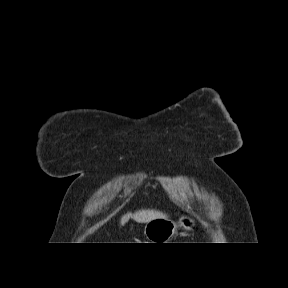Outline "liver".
Here are the masks:
<instances>
[{
  "instance_id": "6515ba94",
  "label": "liver",
  "mask_w": 288,
  "mask_h": 288,
  "mask_svg": "<svg viewBox=\"0 0 288 288\" xmlns=\"http://www.w3.org/2000/svg\"><path fill=\"white\" fill-rule=\"evenodd\" d=\"M130 217H132L138 223H147L153 219L163 218L166 216L160 211L140 210V211L135 212L134 214L129 213V214L122 216L120 220V224L121 225L126 224L129 221Z\"/></svg>"
}]
</instances>
